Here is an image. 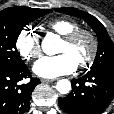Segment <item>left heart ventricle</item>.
I'll return each instance as SVG.
<instances>
[{
    "label": "left heart ventricle",
    "instance_id": "obj_1",
    "mask_svg": "<svg viewBox=\"0 0 114 114\" xmlns=\"http://www.w3.org/2000/svg\"><path fill=\"white\" fill-rule=\"evenodd\" d=\"M89 51L90 43L86 38L80 39L76 44L72 46L62 41L58 50L59 53H69L77 62V64L88 55Z\"/></svg>",
    "mask_w": 114,
    "mask_h": 114
}]
</instances>
